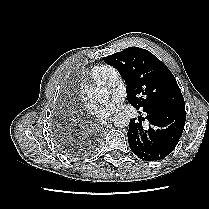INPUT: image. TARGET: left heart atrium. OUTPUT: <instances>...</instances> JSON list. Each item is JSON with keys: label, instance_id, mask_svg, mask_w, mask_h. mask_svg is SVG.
Segmentation results:
<instances>
[{"label": "left heart atrium", "instance_id": "1", "mask_svg": "<svg viewBox=\"0 0 209 209\" xmlns=\"http://www.w3.org/2000/svg\"><path fill=\"white\" fill-rule=\"evenodd\" d=\"M122 101L123 96L115 94L110 100L98 107L96 111L97 117L102 120L109 118L120 109Z\"/></svg>", "mask_w": 209, "mask_h": 209}]
</instances>
